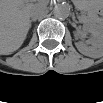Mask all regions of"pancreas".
Returning a JSON list of instances; mask_svg holds the SVG:
<instances>
[{
	"label": "pancreas",
	"mask_w": 103,
	"mask_h": 103,
	"mask_svg": "<svg viewBox=\"0 0 103 103\" xmlns=\"http://www.w3.org/2000/svg\"><path fill=\"white\" fill-rule=\"evenodd\" d=\"M79 18L82 19V20L86 19V21H88V19L85 18V15H84V14H82Z\"/></svg>",
	"instance_id": "1"
}]
</instances>
